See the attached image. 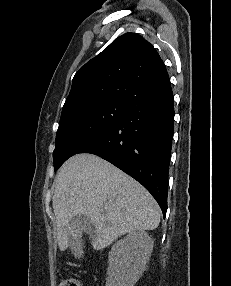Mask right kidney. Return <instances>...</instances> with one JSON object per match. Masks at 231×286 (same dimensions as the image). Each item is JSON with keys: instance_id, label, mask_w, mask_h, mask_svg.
Wrapping results in <instances>:
<instances>
[{"instance_id": "obj_1", "label": "right kidney", "mask_w": 231, "mask_h": 286, "mask_svg": "<svg viewBox=\"0 0 231 286\" xmlns=\"http://www.w3.org/2000/svg\"><path fill=\"white\" fill-rule=\"evenodd\" d=\"M153 244L145 231L131 232L117 241L109 253L106 286H134L145 271Z\"/></svg>"}]
</instances>
